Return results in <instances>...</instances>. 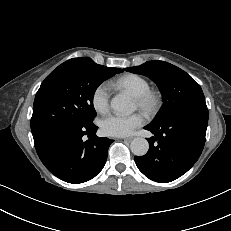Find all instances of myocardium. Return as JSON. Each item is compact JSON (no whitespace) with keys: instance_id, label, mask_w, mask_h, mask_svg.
Here are the masks:
<instances>
[{"instance_id":"f54148a6","label":"myocardium","mask_w":231,"mask_h":231,"mask_svg":"<svg viewBox=\"0 0 231 231\" xmlns=\"http://www.w3.org/2000/svg\"><path fill=\"white\" fill-rule=\"evenodd\" d=\"M137 108L147 116L157 115L163 106V95L160 91L149 89L146 92L134 96Z\"/></svg>"}]
</instances>
